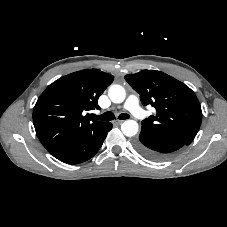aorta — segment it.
<instances>
[{
    "mask_svg": "<svg viewBox=\"0 0 227 227\" xmlns=\"http://www.w3.org/2000/svg\"><path fill=\"white\" fill-rule=\"evenodd\" d=\"M108 96L113 103H122L126 98V92L122 86L112 85L108 90ZM138 128V123L135 120H126L121 125V130L127 137L136 135Z\"/></svg>",
    "mask_w": 227,
    "mask_h": 227,
    "instance_id": "1",
    "label": "aorta"
}]
</instances>
